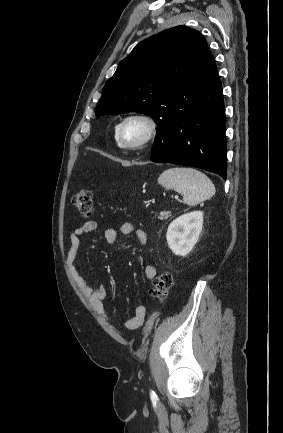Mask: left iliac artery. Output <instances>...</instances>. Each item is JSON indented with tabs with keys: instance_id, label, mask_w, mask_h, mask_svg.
I'll return each instance as SVG.
<instances>
[{
	"instance_id": "1",
	"label": "left iliac artery",
	"mask_w": 283,
	"mask_h": 433,
	"mask_svg": "<svg viewBox=\"0 0 283 433\" xmlns=\"http://www.w3.org/2000/svg\"><path fill=\"white\" fill-rule=\"evenodd\" d=\"M150 396H151V399L153 400V399H157V395H156V393L154 392V391H151L150 392Z\"/></svg>"
}]
</instances>
